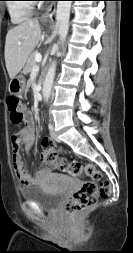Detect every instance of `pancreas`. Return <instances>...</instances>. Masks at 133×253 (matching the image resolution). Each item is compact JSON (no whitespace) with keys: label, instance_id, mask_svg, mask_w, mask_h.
I'll use <instances>...</instances> for the list:
<instances>
[{"label":"pancreas","instance_id":"cf45deb5","mask_svg":"<svg viewBox=\"0 0 133 253\" xmlns=\"http://www.w3.org/2000/svg\"><path fill=\"white\" fill-rule=\"evenodd\" d=\"M35 55H36V52H31L28 59H27V62H26V65L23 69V73L25 75H27L28 73L31 72L32 68L36 65V60H35Z\"/></svg>","mask_w":133,"mask_h":253}]
</instances>
